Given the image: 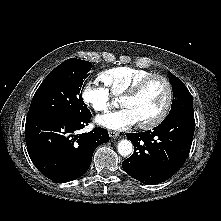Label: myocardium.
<instances>
[{
    "mask_svg": "<svg viewBox=\"0 0 221 221\" xmlns=\"http://www.w3.org/2000/svg\"><path fill=\"white\" fill-rule=\"evenodd\" d=\"M154 79L161 80L164 83L167 89V97L163 108L153 119L138 123V126L142 129H150L156 127L159 124H161L164 121V119L167 117L171 109L174 98L173 86L170 80L166 76L161 74H149L138 80L126 93H124L121 96L122 99L137 97L140 94V92L143 90V88L147 85V83H149L151 80Z\"/></svg>",
    "mask_w": 221,
    "mask_h": 221,
    "instance_id": "obj_1",
    "label": "myocardium"
}]
</instances>
